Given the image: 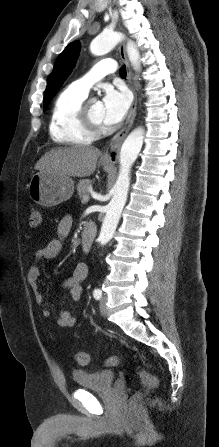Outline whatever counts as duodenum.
<instances>
[{"label": "duodenum", "instance_id": "1", "mask_svg": "<svg viewBox=\"0 0 219 447\" xmlns=\"http://www.w3.org/2000/svg\"><path fill=\"white\" fill-rule=\"evenodd\" d=\"M95 232H96V226L94 223L89 222L85 225L81 233V248L84 253L89 252L92 241L95 237Z\"/></svg>", "mask_w": 219, "mask_h": 447}]
</instances>
